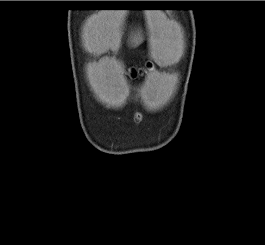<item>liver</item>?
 I'll list each match as a JSON object with an SVG mask.
<instances>
[{"label":"liver","instance_id":"obj_1","mask_svg":"<svg viewBox=\"0 0 265 245\" xmlns=\"http://www.w3.org/2000/svg\"><path fill=\"white\" fill-rule=\"evenodd\" d=\"M142 41V37L138 33L134 35L132 43L134 46L138 45ZM87 48L92 52H105L111 48L113 51H117L119 48V38L112 31L107 30L103 25L96 24L92 30L87 34L86 38Z\"/></svg>","mask_w":265,"mask_h":245}]
</instances>
